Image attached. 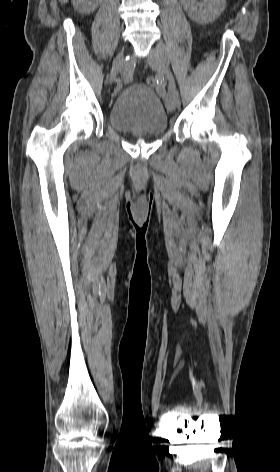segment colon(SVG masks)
I'll list each match as a JSON object with an SVG mask.
<instances>
[{"label": "colon", "mask_w": 280, "mask_h": 472, "mask_svg": "<svg viewBox=\"0 0 280 472\" xmlns=\"http://www.w3.org/2000/svg\"><path fill=\"white\" fill-rule=\"evenodd\" d=\"M147 84L152 87H156L159 85V81L156 77L150 76L146 80Z\"/></svg>", "instance_id": "5ec220e1"}]
</instances>
